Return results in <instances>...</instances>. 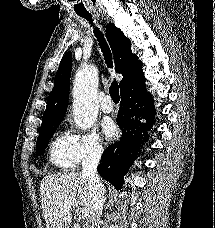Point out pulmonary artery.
Listing matches in <instances>:
<instances>
[{
    "label": "pulmonary artery",
    "mask_w": 215,
    "mask_h": 228,
    "mask_svg": "<svg viewBox=\"0 0 215 228\" xmlns=\"http://www.w3.org/2000/svg\"><path fill=\"white\" fill-rule=\"evenodd\" d=\"M101 109L105 113H110L113 111L114 105H113L110 95L105 96L104 100L101 103Z\"/></svg>",
    "instance_id": "e3ab8cb5"
}]
</instances>
